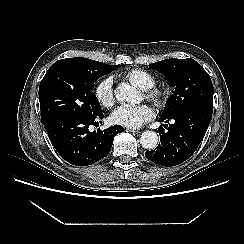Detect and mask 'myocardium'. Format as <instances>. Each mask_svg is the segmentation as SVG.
<instances>
[{
  "instance_id": "myocardium-1",
  "label": "myocardium",
  "mask_w": 244,
  "mask_h": 244,
  "mask_svg": "<svg viewBox=\"0 0 244 244\" xmlns=\"http://www.w3.org/2000/svg\"><path fill=\"white\" fill-rule=\"evenodd\" d=\"M146 97L156 105H160L164 101L165 93L160 89H150L146 92Z\"/></svg>"
}]
</instances>
